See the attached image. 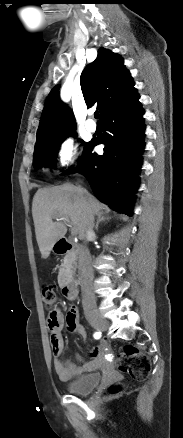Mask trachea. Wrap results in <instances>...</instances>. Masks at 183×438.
<instances>
[{
    "label": "trachea",
    "mask_w": 183,
    "mask_h": 438,
    "mask_svg": "<svg viewBox=\"0 0 183 438\" xmlns=\"http://www.w3.org/2000/svg\"><path fill=\"white\" fill-rule=\"evenodd\" d=\"M94 117H95V118H98V117H99V112H98V111H96V112L94 113Z\"/></svg>",
    "instance_id": "obj_1"
}]
</instances>
